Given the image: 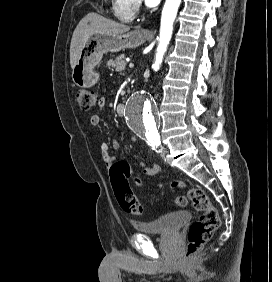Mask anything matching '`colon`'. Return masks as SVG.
Segmentation results:
<instances>
[{
	"mask_svg": "<svg viewBox=\"0 0 272 282\" xmlns=\"http://www.w3.org/2000/svg\"><path fill=\"white\" fill-rule=\"evenodd\" d=\"M75 101L82 110L89 111L96 105L97 97L92 91L80 89L75 93ZM111 172L114 180V194L120 207L135 215L143 214V205L136 199L128 183L129 169L123 162H117L112 166ZM135 181L138 184L141 183L139 178H136ZM172 185L173 187H185L184 183L179 180L173 182ZM188 199L193 207L201 212L200 217L190 225L188 230L186 256L190 260L212 237L220 225V218L217 208L205 190L191 187L188 189L187 195H178L175 202L179 207H184L187 205Z\"/></svg>",
	"mask_w": 272,
	"mask_h": 282,
	"instance_id": "5ec220e1",
	"label": "colon"
}]
</instances>
